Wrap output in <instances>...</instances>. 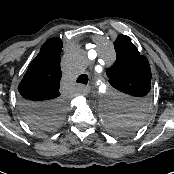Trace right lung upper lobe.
I'll return each instance as SVG.
<instances>
[{
  "label": "right lung upper lobe",
  "mask_w": 174,
  "mask_h": 174,
  "mask_svg": "<svg viewBox=\"0 0 174 174\" xmlns=\"http://www.w3.org/2000/svg\"><path fill=\"white\" fill-rule=\"evenodd\" d=\"M60 38L49 39L25 73L18 90L23 101L54 104L60 102Z\"/></svg>",
  "instance_id": "1"
}]
</instances>
